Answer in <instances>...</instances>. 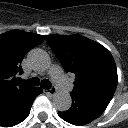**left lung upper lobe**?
I'll return each mask as SVG.
<instances>
[{"mask_svg": "<svg viewBox=\"0 0 128 128\" xmlns=\"http://www.w3.org/2000/svg\"><path fill=\"white\" fill-rule=\"evenodd\" d=\"M46 41L65 71L76 75L71 95L112 99L117 70L104 46L80 35H48Z\"/></svg>", "mask_w": 128, "mask_h": 128, "instance_id": "1", "label": "left lung upper lobe"}]
</instances>
